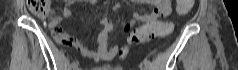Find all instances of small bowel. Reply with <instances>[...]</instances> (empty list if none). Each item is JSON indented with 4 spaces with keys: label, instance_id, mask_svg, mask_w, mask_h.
<instances>
[{
    "label": "small bowel",
    "instance_id": "obj_1",
    "mask_svg": "<svg viewBox=\"0 0 238 70\" xmlns=\"http://www.w3.org/2000/svg\"><path fill=\"white\" fill-rule=\"evenodd\" d=\"M90 3H94L95 0H90ZM150 4L155 5V9L145 15H140L138 13H133V18L137 20H141L144 22V19H160L165 18L170 15L172 11L173 1L172 0H146ZM69 2L67 3V5ZM67 5L63 8L62 14L65 17L72 18L73 14L71 11L68 10ZM102 30L98 37L95 40V44L98 45L97 51L90 50L87 46L83 45L80 41L71 38L68 36L61 27L58 26V20H52L49 24L50 28H52V33L54 38L63 44L71 45L75 47L77 50L81 52V54L87 58H90L94 61H111L115 58V56L120 53L119 48L117 45L108 44V38L113 30V23L110 19L104 18L101 21ZM132 26L131 22H128L126 25V29H130ZM55 29H59L60 33H56ZM126 51V50H125ZM126 53V52H125ZM124 53V54H125Z\"/></svg>",
    "mask_w": 238,
    "mask_h": 70
}]
</instances>
